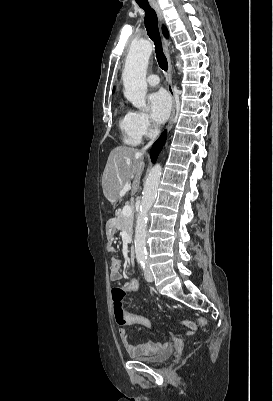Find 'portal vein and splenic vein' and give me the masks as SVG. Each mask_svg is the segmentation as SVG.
Here are the masks:
<instances>
[{"instance_id": "1", "label": "portal vein and splenic vein", "mask_w": 273, "mask_h": 401, "mask_svg": "<svg viewBox=\"0 0 273 401\" xmlns=\"http://www.w3.org/2000/svg\"><path fill=\"white\" fill-rule=\"evenodd\" d=\"M130 188H131L130 184H125V186H123V190H120L121 196H124V194H126L127 190H130ZM122 213H123V215H125V217H130V215H132L133 211H132L131 207H129V205H126V207H123Z\"/></svg>"}]
</instances>
